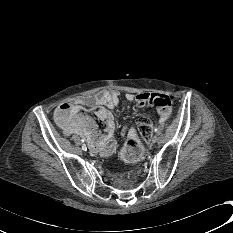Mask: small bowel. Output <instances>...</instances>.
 I'll list each match as a JSON object with an SVG mask.
<instances>
[{
  "label": "small bowel",
  "mask_w": 233,
  "mask_h": 233,
  "mask_svg": "<svg viewBox=\"0 0 233 233\" xmlns=\"http://www.w3.org/2000/svg\"><path fill=\"white\" fill-rule=\"evenodd\" d=\"M156 96L159 95L147 92L122 94L116 90H105L94 95L77 97L70 101V104L77 108L73 116L76 117V119L72 120L71 124L68 126H61L65 134H78L81 136L88 143L91 153L108 157L116 149L115 136L117 133V126L112 115L109 114V116L102 121L104 133L100 134L97 132L96 123L92 117L83 113L82 110L85 107L95 109L103 106L112 109L119 104L122 97L127 102L135 103L138 109H144ZM168 110L169 109H158L160 121H164L168 118ZM124 158L129 163H136L141 158V151L136 146H129L124 151Z\"/></svg>",
  "instance_id": "small-bowel-1"
}]
</instances>
